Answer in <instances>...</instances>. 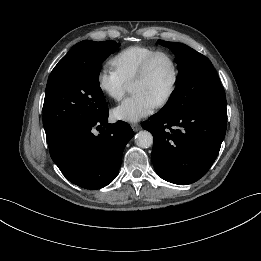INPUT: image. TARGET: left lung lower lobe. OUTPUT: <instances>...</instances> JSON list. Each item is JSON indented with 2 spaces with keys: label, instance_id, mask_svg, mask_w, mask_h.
I'll list each match as a JSON object with an SVG mask.
<instances>
[{
  "label": "left lung lower lobe",
  "instance_id": "obj_1",
  "mask_svg": "<svg viewBox=\"0 0 261 261\" xmlns=\"http://www.w3.org/2000/svg\"><path fill=\"white\" fill-rule=\"evenodd\" d=\"M227 125L226 103L199 107L185 114L160 111L143 123L154 139L151 159L164 180L191 184L215 161Z\"/></svg>",
  "mask_w": 261,
  "mask_h": 261
}]
</instances>
